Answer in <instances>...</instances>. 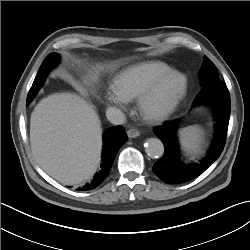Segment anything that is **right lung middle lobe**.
<instances>
[{
	"instance_id": "right-lung-middle-lobe-1",
	"label": "right lung middle lobe",
	"mask_w": 250,
	"mask_h": 250,
	"mask_svg": "<svg viewBox=\"0 0 250 250\" xmlns=\"http://www.w3.org/2000/svg\"><path fill=\"white\" fill-rule=\"evenodd\" d=\"M57 61L58 56L56 53H51L46 57L37 73V76L35 77L32 87L30 88L26 101L27 104H29L34 98L39 88L42 86L46 76L48 75V71L57 63Z\"/></svg>"
}]
</instances>
